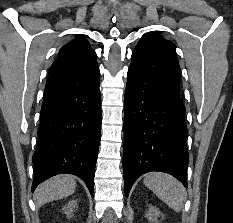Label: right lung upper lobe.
<instances>
[{"mask_svg": "<svg viewBox=\"0 0 233 223\" xmlns=\"http://www.w3.org/2000/svg\"><path fill=\"white\" fill-rule=\"evenodd\" d=\"M96 57L87 39L77 36L60 49L57 60L50 67L49 75L88 67L96 63Z\"/></svg>", "mask_w": 233, "mask_h": 223, "instance_id": "cb5924a9", "label": "right lung upper lobe"}]
</instances>
